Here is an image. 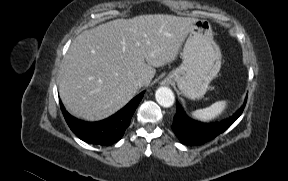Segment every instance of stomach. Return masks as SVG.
Masks as SVG:
<instances>
[{"mask_svg": "<svg viewBox=\"0 0 288 181\" xmlns=\"http://www.w3.org/2000/svg\"><path fill=\"white\" fill-rule=\"evenodd\" d=\"M181 56L182 64L167 75L165 82H176L184 96L198 99L206 93L221 68V51L213 40L209 21L195 20Z\"/></svg>", "mask_w": 288, "mask_h": 181, "instance_id": "0dacf381", "label": "stomach"}]
</instances>
